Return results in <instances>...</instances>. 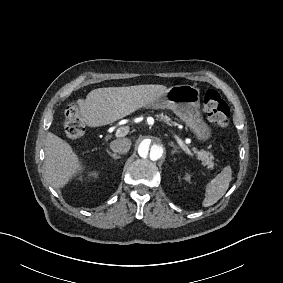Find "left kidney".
<instances>
[{"label":"left kidney","mask_w":283,"mask_h":283,"mask_svg":"<svg viewBox=\"0 0 283 283\" xmlns=\"http://www.w3.org/2000/svg\"><path fill=\"white\" fill-rule=\"evenodd\" d=\"M186 179H187V180H189V179H190V177H189V176H187V177H186Z\"/></svg>","instance_id":"left-kidney-1"}]
</instances>
